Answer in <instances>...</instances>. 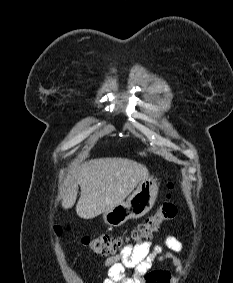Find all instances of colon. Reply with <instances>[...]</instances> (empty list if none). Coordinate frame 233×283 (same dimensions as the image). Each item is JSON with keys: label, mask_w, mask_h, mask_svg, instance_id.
Here are the masks:
<instances>
[{"label": "colon", "mask_w": 233, "mask_h": 283, "mask_svg": "<svg viewBox=\"0 0 233 283\" xmlns=\"http://www.w3.org/2000/svg\"><path fill=\"white\" fill-rule=\"evenodd\" d=\"M169 192L161 204L158 211L148 217L144 222L133 229L126 237H116L111 235H101L96 237L85 236L82 242L94 253L101 256H111L119 254L127 241L143 242L150 239L161 227L166 220H172L177 216L178 209L172 200L171 191L174 189L172 182L168 183ZM57 233H61L59 226L55 227Z\"/></svg>", "instance_id": "colon-1"}]
</instances>
